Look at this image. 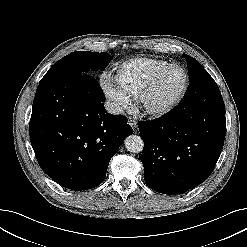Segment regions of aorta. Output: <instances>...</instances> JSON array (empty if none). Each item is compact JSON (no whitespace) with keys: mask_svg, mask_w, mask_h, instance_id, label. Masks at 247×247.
<instances>
[{"mask_svg":"<svg viewBox=\"0 0 247 247\" xmlns=\"http://www.w3.org/2000/svg\"><path fill=\"white\" fill-rule=\"evenodd\" d=\"M125 147L129 152L139 153L143 150V140L138 135H130L124 141Z\"/></svg>","mask_w":247,"mask_h":247,"instance_id":"1","label":"aorta"}]
</instances>
